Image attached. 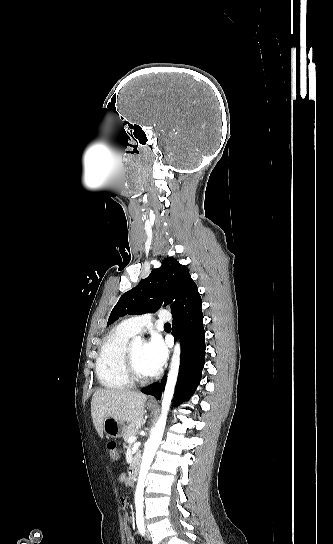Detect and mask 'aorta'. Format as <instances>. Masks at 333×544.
<instances>
[{
	"instance_id": "obj_1",
	"label": "aorta",
	"mask_w": 333,
	"mask_h": 544,
	"mask_svg": "<svg viewBox=\"0 0 333 544\" xmlns=\"http://www.w3.org/2000/svg\"><path fill=\"white\" fill-rule=\"evenodd\" d=\"M141 344H142V340L140 337H135L132 341L133 347L139 346ZM179 365H180V345L176 344L174 347V353H173L170 370H169V374H168V378L166 382V387L164 391L161 415L155 427L152 429L150 438L148 439L144 447L137 486L135 490V505L138 508L143 506L145 479L150 469L155 453L162 440L170 402L174 393V387L178 377Z\"/></svg>"
}]
</instances>
